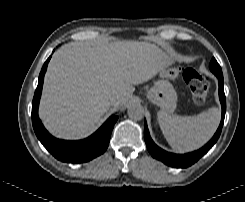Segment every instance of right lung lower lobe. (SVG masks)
<instances>
[{"label":"right lung lower lobe","instance_id":"1","mask_svg":"<svg viewBox=\"0 0 245 202\" xmlns=\"http://www.w3.org/2000/svg\"><path fill=\"white\" fill-rule=\"evenodd\" d=\"M51 56L44 63L39 75V82L32 102V124L37 138L44 147L58 160L69 163L87 162L103 154L110 141V136L118 116H111L93 135L78 140H61L50 135L38 117L44 74Z\"/></svg>","mask_w":245,"mask_h":202}]
</instances>
